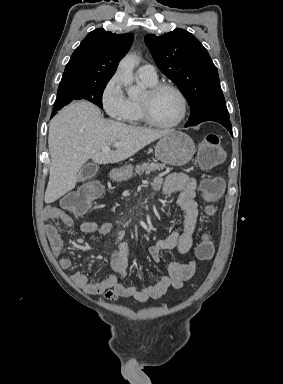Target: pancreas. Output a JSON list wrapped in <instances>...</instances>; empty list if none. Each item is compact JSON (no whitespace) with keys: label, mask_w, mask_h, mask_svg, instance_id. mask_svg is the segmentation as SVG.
<instances>
[{"label":"pancreas","mask_w":283,"mask_h":384,"mask_svg":"<svg viewBox=\"0 0 283 384\" xmlns=\"http://www.w3.org/2000/svg\"><path fill=\"white\" fill-rule=\"evenodd\" d=\"M166 168V164H155V162H144V164H138L135 168V174H142V172H146V174H150V172H156V170H164Z\"/></svg>","instance_id":"cf45deb5"}]
</instances>
